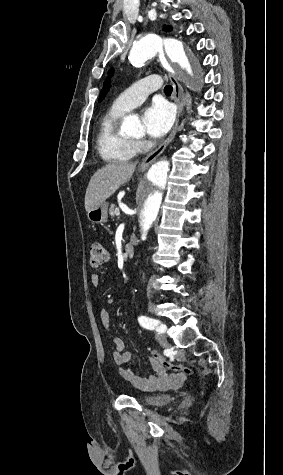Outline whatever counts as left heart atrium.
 <instances>
[{
    "label": "left heart atrium",
    "instance_id": "left-heart-atrium-1",
    "mask_svg": "<svg viewBox=\"0 0 283 475\" xmlns=\"http://www.w3.org/2000/svg\"><path fill=\"white\" fill-rule=\"evenodd\" d=\"M175 121L174 107L167 101L156 100L148 106L143 114L145 132L152 138L167 134Z\"/></svg>",
    "mask_w": 283,
    "mask_h": 475
}]
</instances>
